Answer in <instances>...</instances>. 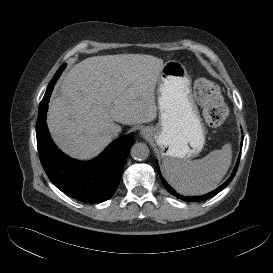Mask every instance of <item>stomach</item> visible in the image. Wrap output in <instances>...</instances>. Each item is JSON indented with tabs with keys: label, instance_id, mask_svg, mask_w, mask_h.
<instances>
[{
	"label": "stomach",
	"instance_id": "1",
	"mask_svg": "<svg viewBox=\"0 0 273 273\" xmlns=\"http://www.w3.org/2000/svg\"><path fill=\"white\" fill-rule=\"evenodd\" d=\"M158 124L151 127L152 140L163 160L186 161L205 145V127L185 66L178 61L164 64L157 82Z\"/></svg>",
	"mask_w": 273,
	"mask_h": 273
}]
</instances>
